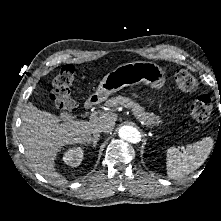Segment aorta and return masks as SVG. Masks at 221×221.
Listing matches in <instances>:
<instances>
[{"mask_svg": "<svg viewBox=\"0 0 221 221\" xmlns=\"http://www.w3.org/2000/svg\"><path fill=\"white\" fill-rule=\"evenodd\" d=\"M118 134L121 139L132 144H136L141 141L140 132L133 126L120 127Z\"/></svg>", "mask_w": 221, "mask_h": 221, "instance_id": "obj_1", "label": "aorta"}]
</instances>
